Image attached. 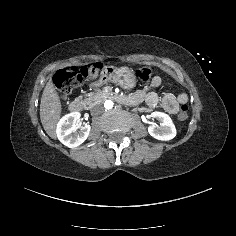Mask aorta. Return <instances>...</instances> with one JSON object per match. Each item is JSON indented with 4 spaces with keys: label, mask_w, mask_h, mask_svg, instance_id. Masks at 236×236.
Listing matches in <instances>:
<instances>
[{
    "label": "aorta",
    "mask_w": 236,
    "mask_h": 236,
    "mask_svg": "<svg viewBox=\"0 0 236 236\" xmlns=\"http://www.w3.org/2000/svg\"><path fill=\"white\" fill-rule=\"evenodd\" d=\"M113 105H114V103H113V101H111V100H106L105 103H104V107H105L106 109H112V108H113Z\"/></svg>",
    "instance_id": "762f6f07"
}]
</instances>
